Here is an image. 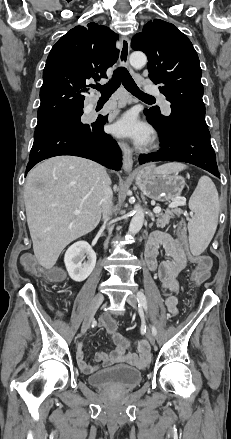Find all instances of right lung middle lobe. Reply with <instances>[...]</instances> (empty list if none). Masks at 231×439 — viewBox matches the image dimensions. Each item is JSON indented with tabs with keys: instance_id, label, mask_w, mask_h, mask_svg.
Here are the masks:
<instances>
[{
	"instance_id": "1",
	"label": "right lung middle lobe",
	"mask_w": 231,
	"mask_h": 439,
	"mask_svg": "<svg viewBox=\"0 0 231 439\" xmlns=\"http://www.w3.org/2000/svg\"><path fill=\"white\" fill-rule=\"evenodd\" d=\"M83 114L82 109L72 110L68 112H64L61 114H57L51 117L38 119L35 130L43 128L48 125L56 124V123H82L80 118Z\"/></svg>"
}]
</instances>
